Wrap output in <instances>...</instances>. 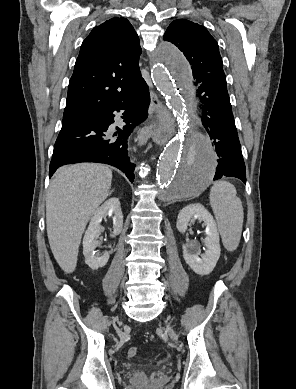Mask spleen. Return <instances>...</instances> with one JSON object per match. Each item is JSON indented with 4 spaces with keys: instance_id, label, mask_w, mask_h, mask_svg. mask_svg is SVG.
Returning a JSON list of instances; mask_svg holds the SVG:
<instances>
[{
    "instance_id": "spleen-1",
    "label": "spleen",
    "mask_w": 296,
    "mask_h": 389,
    "mask_svg": "<svg viewBox=\"0 0 296 389\" xmlns=\"http://www.w3.org/2000/svg\"><path fill=\"white\" fill-rule=\"evenodd\" d=\"M231 183L218 181L210 189V204L224 247L234 251L239 245L243 226V206Z\"/></svg>"
}]
</instances>
